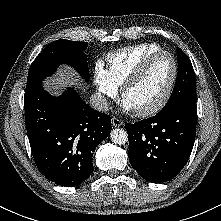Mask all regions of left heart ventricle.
<instances>
[{
  "mask_svg": "<svg viewBox=\"0 0 221 221\" xmlns=\"http://www.w3.org/2000/svg\"><path fill=\"white\" fill-rule=\"evenodd\" d=\"M173 73V64L169 57L155 59L127 90L126 100L134 110L148 108L155 104L165 92Z\"/></svg>",
  "mask_w": 221,
  "mask_h": 221,
  "instance_id": "b2bd125f",
  "label": "left heart ventricle"
}]
</instances>
